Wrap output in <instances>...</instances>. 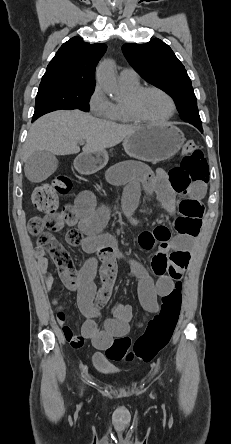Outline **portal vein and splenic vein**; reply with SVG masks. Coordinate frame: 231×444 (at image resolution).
Segmentation results:
<instances>
[{
  "instance_id": "portal-vein-and-splenic-vein-1",
  "label": "portal vein and splenic vein",
  "mask_w": 231,
  "mask_h": 444,
  "mask_svg": "<svg viewBox=\"0 0 231 444\" xmlns=\"http://www.w3.org/2000/svg\"><path fill=\"white\" fill-rule=\"evenodd\" d=\"M79 142H80L81 144H84V141H83V140H80Z\"/></svg>"
}]
</instances>
